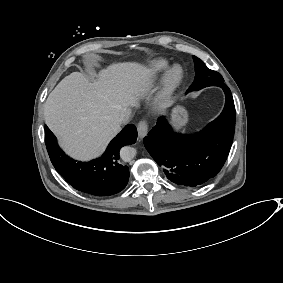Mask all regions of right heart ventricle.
Listing matches in <instances>:
<instances>
[{
  "mask_svg": "<svg viewBox=\"0 0 283 283\" xmlns=\"http://www.w3.org/2000/svg\"><path fill=\"white\" fill-rule=\"evenodd\" d=\"M170 62L165 58H156L142 67L136 74L133 86L142 89L160 76L168 67Z\"/></svg>",
  "mask_w": 283,
  "mask_h": 283,
  "instance_id": "right-heart-ventricle-1",
  "label": "right heart ventricle"
}]
</instances>
